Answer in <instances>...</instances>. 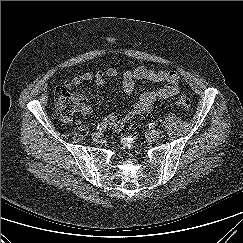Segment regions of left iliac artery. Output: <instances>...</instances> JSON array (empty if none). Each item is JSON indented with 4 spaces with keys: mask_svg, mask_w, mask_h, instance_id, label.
<instances>
[{
    "mask_svg": "<svg viewBox=\"0 0 243 243\" xmlns=\"http://www.w3.org/2000/svg\"><path fill=\"white\" fill-rule=\"evenodd\" d=\"M148 126L150 129H153V128H155L156 125H155V123L152 122V123H149Z\"/></svg>",
    "mask_w": 243,
    "mask_h": 243,
    "instance_id": "left-iliac-artery-1",
    "label": "left iliac artery"
}]
</instances>
